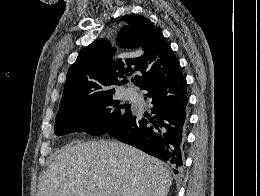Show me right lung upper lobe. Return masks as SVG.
<instances>
[{
    "label": "right lung upper lobe",
    "instance_id": "1",
    "mask_svg": "<svg viewBox=\"0 0 260 196\" xmlns=\"http://www.w3.org/2000/svg\"><path fill=\"white\" fill-rule=\"evenodd\" d=\"M121 21L112 48L98 39L81 50L68 70L58 111L94 94L115 93L113 87L123 84L121 78L134 72L139 74L134 84L143 89L180 69L162 31L148 18L130 14Z\"/></svg>",
    "mask_w": 260,
    "mask_h": 196
}]
</instances>
